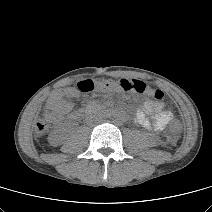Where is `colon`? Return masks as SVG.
Segmentation results:
<instances>
[{"instance_id":"1","label":"colon","mask_w":212,"mask_h":212,"mask_svg":"<svg viewBox=\"0 0 212 212\" xmlns=\"http://www.w3.org/2000/svg\"><path fill=\"white\" fill-rule=\"evenodd\" d=\"M78 91L85 94H93L95 92L110 91L112 93L123 92H138L146 95H150L156 100H161L164 97L162 90L154 88L147 84L146 82L136 80V79H127V78H118L110 79L108 81H101L96 79H87L77 83ZM47 122L45 120H39L36 122L34 130L37 135H42L47 129ZM179 130L178 124H175L172 129L170 136L171 141H175L177 132Z\"/></svg>"}]
</instances>
